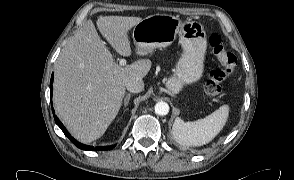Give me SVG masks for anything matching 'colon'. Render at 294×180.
<instances>
[{
  "label": "colon",
  "instance_id": "colon-1",
  "mask_svg": "<svg viewBox=\"0 0 294 180\" xmlns=\"http://www.w3.org/2000/svg\"><path fill=\"white\" fill-rule=\"evenodd\" d=\"M209 44L213 55L219 62L220 66L210 74L209 79L206 81L205 93L209 97L215 98L222 90L221 83L233 74L237 59L232 53L224 48L218 34L212 33L210 35Z\"/></svg>",
  "mask_w": 294,
  "mask_h": 180
}]
</instances>
